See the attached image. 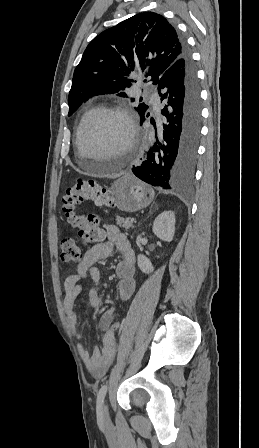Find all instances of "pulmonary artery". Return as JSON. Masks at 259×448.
<instances>
[{"mask_svg": "<svg viewBox=\"0 0 259 448\" xmlns=\"http://www.w3.org/2000/svg\"><path fill=\"white\" fill-rule=\"evenodd\" d=\"M150 102L154 105L156 111H160L162 108L161 100L158 95L149 96Z\"/></svg>", "mask_w": 259, "mask_h": 448, "instance_id": "1", "label": "pulmonary artery"}]
</instances>
